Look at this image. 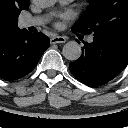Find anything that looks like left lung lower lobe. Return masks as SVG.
Segmentation results:
<instances>
[{
  "label": "left lung lower lobe",
  "instance_id": "1",
  "mask_svg": "<svg viewBox=\"0 0 128 128\" xmlns=\"http://www.w3.org/2000/svg\"><path fill=\"white\" fill-rule=\"evenodd\" d=\"M81 57L70 63L71 73L82 83L104 85L128 64V36L96 37L82 48Z\"/></svg>",
  "mask_w": 128,
  "mask_h": 128
}]
</instances>
